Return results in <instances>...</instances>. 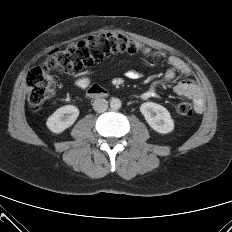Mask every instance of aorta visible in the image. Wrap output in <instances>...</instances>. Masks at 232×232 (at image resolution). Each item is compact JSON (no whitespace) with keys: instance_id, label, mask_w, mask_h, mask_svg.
<instances>
[{"instance_id":"aorta-1","label":"aorta","mask_w":232,"mask_h":232,"mask_svg":"<svg viewBox=\"0 0 232 232\" xmlns=\"http://www.w3.org/2000/svg\"><path fill=\"white\" fill-rule=\"evenodd\" d=\"M110 107H111L113 110H118V109H120V107H121V101H120V99H118V98H112V99L110 100Z\"/></svg>"}]
</instances>
